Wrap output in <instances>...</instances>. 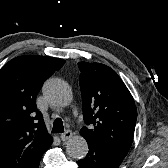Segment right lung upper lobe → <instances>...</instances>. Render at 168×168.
<instances>
[{
    "mask_svg": "<svg viewBox=\"0 0 168 168\" xmlns=\"http://www.w3.org/2000/svg\"><path fill=\"white\" fill-rule=\"evenodd\" d=\"M64 60L26 55L0 70V168H38L53 138L36 107L43 82Z\"/></svg>",
    "mask_w": 168,
    "mask_h": 168,
    "instance_id": "right-lung-upper-lobe-1",
    "label": "right lung upper lobe"
}]
</instances>
